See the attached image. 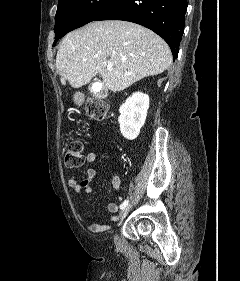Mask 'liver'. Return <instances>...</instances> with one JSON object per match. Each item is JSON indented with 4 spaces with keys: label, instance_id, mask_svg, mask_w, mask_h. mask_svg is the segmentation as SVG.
Here are the masks:
<instances>
[{
    "label": "liver",
    "instance_id": "1",
    "mask_svg": "<svg viewBox=\"0 0 240 281\" xmlns=\"http://www.w3.org/2000/svg\"><path fill=\"white\" fill-rule=\"evenodd\" d=\"M112 63L113 69L107 70ZM168 44L153 31L127 21L91 22L68 33L56 55L62 85L80 88L101 74L104 86L122 91L170 67Z\"/></svg>",
    "mask_w": 240,
    "mask_h": 281
}]
</instances>
